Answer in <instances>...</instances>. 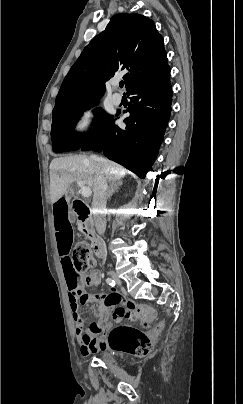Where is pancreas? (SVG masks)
Instances as JSON below:
<instances>
[{"instance_id":"obj_1","label":"pancreas","mask_w":243,"mask_h":404,"mask_svg":"<svg viewBox=\"0 0 243 404\" xmlns=\"http://www.w3.org/2000/svg\"><path fill=\"white\" fill-rule=\"evenodd\" d=\"M77 226H78V230H80V232H82V230H83L82 222H77Z\"/></svg>"}]
</instances>
